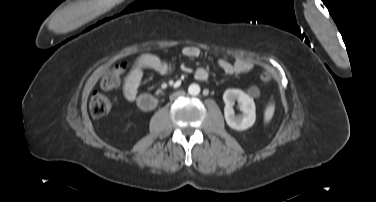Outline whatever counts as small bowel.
Instances as JSON below:
<instances>
[{
  "instance_id": "small-bowel-1",
  "label": "small bowel",
  "mask_w": 376,
  "mask_h": 202,
  "mask_svg": "<svg viewBox=\"0 0 376 202\" xmlns=\"http://www.w3.org/2000/svg\"><path fill=\"white\" fill-rule=\"evenodd\" d=\"M200 53V49L196 46H185L182 49V55L190 59L197 58ZM217 65L227 75L245 74L253 68V64L246 59H237L234 63L221 59ZM145 69L167 75L172 71V66L157 55L151 53L140 55L135 60L123 83V94L127 101L134 102L136 100ZM193 75L199 81H207L210 77L209 71L205 68L195 69Z\"/></svg>"
}]
</instances>
